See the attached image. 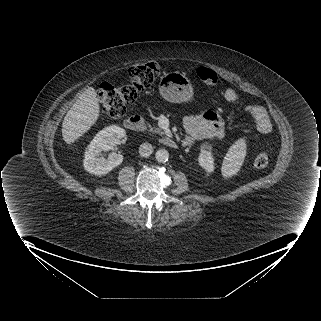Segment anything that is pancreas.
<instances>
[{
    "label": "pancreas",
    "mask_w": 321,
    "mask_h": 321,
    "mask_svg": "<svg viewBox=\"0 0 321 321\" xmlns=\"http://www.w3.org/2000/svg\"><path fill=\"white\" fill-rule=\"evenodd\" d=\"M149 131H150V132H153V133L160 134V135L163 133L160 128H156V127H153V126H151V125H149Z\"/></svg>",
    "instance_id": "pancreas-1"
}]
</instances>
